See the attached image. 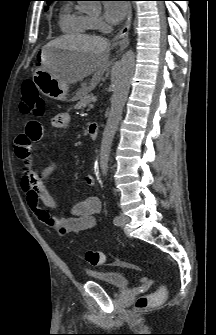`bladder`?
Instances as JSON below:
<instances>
[{
  "label": "bladder",
  "mask_w": 216,
  "mask_h": 335,
  "mask_svg": "<svg viewBox=\"0 0 216 335\" xmlns=\"http://www.w3.org/2000/svg\"><path fill=\"white\" fill-rule=\"evenodd\" d=\"M87 276L102 284L108 285L116 290H123L128 287L129 276L124 271L103 270V271H87Z\"/></svg>",
  "instance_id": "1"
}]
</instances>
